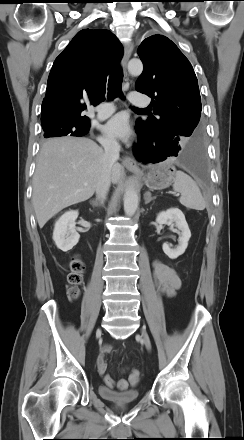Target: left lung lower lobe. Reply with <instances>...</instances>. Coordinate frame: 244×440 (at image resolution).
<instances>
[{"instance_id":"1","label":"left lung lower lobe","mask_w":244,"mask_h":440,"mask_svg":"<svg viewBox=\"0 0 244 440\" xmlns=\"http://www.w3.org/2000/svg\"><path fill=\"white\" fill-rule=\"evenodd\" d=\"M138 142L134 154L143 163H159L168 158H175L186 169L199 175L206 174V159L203 139L196 138L187 145L169 141L158 129L136 123Z\"/></svg>"}]
</instances>
